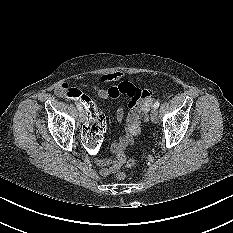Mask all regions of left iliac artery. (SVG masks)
Here are the masks:
<instances>
[{
  "label": "left iliac artery",
  "mask_w": 233,
  "mask_h": 233,
  "mask_svg": "<svg viewBox=\"0 0 233 233\" xmlns=\"http://www.w3.org/2000/svg\"><path fill=\"white\" fill-rule=\"evenodd\" d=\"M159 105H160V101L157 100V101L154 103L153 107L157 109V108L159 107Z\"/></svg>",
  "instance_id": "left-iliac-artery-1"
}]
</instances>
